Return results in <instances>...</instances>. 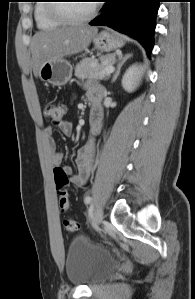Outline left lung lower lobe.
<instances>
[{
  "mask_svg": "<svg viewBox=\"0 0 195 299\" xmlns=\"http://www.w3.org/2000/svg\"><path fill=\"white\" fill-rule=\"evenodd\" d=\"M103 12L90 22L108 26L138 40L150 54L160 0H105Z\"/></svg>",
  "mask_w": 195,
  "mask_h": 299,
  "instance_id": "left-lung-lower-lobe-1",
  "label": "left lung lower lobe"
}]
</instances>
